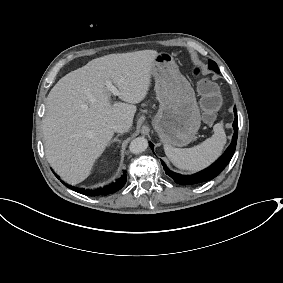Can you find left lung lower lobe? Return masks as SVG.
<instances>
[{
    "label": "left lung lower lobe",
    "mask_w": 283,
    "mask_h": 283,
    "mask_svg": "<svg viewBox=\"0 0 283 283\" xmlns=\"http://www.w3.org/2000/svg\"><path fill=\"white\" fill-rule=\"evenodd\" d=\"M234 114H235V120L233 123L234 127V135L232 142L230 146L227 148L225 153L216 161L214 162L210 167L196 173L193 175H181L175 172L170 171L165 163L161 161L163 168L165 170V173L169 175L177 184L180 185H193V184H200L209 180H212L215 178L218 174H220L226 165L231 160L235 148H236V142H237V133H238V118H237V112L236 108H234ZM150 147L153 150L154 146L152 143H150Z\"/></svg>",
    "instance_id": "left-lung-lower-lobe-1"
}]
</instances>
